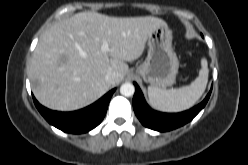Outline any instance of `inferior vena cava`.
I'll return each mask as SVG.
<instances>
[{
    "label": "inferior vena cava",
    "instance_id": "602c4592",
    "mask_svg": "<svg viewBox=\"0 0 248 165\" xmlns=\"http://www.w3.org/2000/svg\"><path fill=\"white\" fill-rule=\"evenodd\" d=\"M115 79H116V73L115 72L110 71L105 76L106 82H108L110 84L114 83Z\"/></svg>",
    "mask_w": 248,
    "mask_h": 165
}]
</instances>
